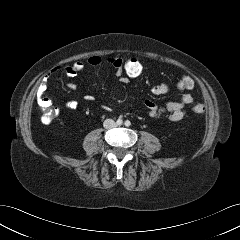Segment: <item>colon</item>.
<instances>
[{
    "label": "colon",
    "mask_w": 240,
    "mask_h": 240,
    "mask_svg": "<svg viewBox=\"0 0 240 240\" xmlns=\"http://www.w3.org/2000/svg\"><path fill=\"white\" fill-rule=\"evenodd\" d=\"M121 70L127 78H138L143 75L144 65L138 57H130L122 61ZM194 87V81L189 76H182L176 82V89L188 91ZM193 113L201 114L205 111V106L201 103H194L191 108ZM57 116L56 110L43 107L41 120L44 124L51 123Z\"/></svg>",
    "instance_id": "1"
}]
</instances>
